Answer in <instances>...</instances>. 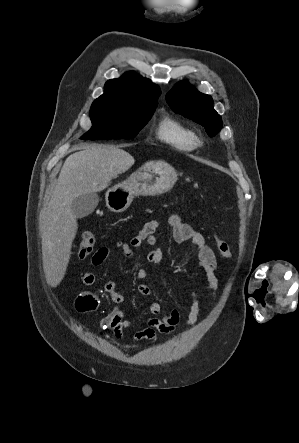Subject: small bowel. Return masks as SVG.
I'll return each mask as SVG.
<instances>
[{
  "mask_svg": "<svg viewBox=\"0 0 299 443\" xmlns=\"http://www.w3.org/2000/svg\"><path fill=\"white\" fill-rule=\"evenodd\" d=\"M168 223L173 229V238L177 242L191 241L198 249V264L203 269L208 287L212 297L216 296L218 280L216 276V257L213 250L207 244L201 233L196 231L190 225L184 223L180 216L171 215ZM160 226L159 221L151 220L135 235L130 242H119L117 248L126 258H133V248H141L145 244L154 245L156 243V232ZM109 255L107 248H100L92 257V263L95 266L101 265ZM147 260L153 264H160L163 261V253L159 249L151 250L147 254ZM149 273L146 269L139 268L135 271V277L138 280H144ZM83 283L86 286H94L97 283L96 276L88 271L83 275ZM104 290L109 294L112 302L116 305L123 303L124 295L116 290V284L113 279L106 282ZM138 292L141 295L148 296L151 289L146 284L138 286ZM200 296L196 292L191 293V302L188 312V325L194 326L199 317ZM76 307L81 312H91L97 309L98 299L95 293L85 291L81 293L76 300ZM161 311L159 303L153 302L149 306V312L152 315H158ZM180 322V313L173 309L163 318L149 317L145 320L144 326L135 332L133 341L135 343L143 340H153L157 334L171 335ZM101 327L113 332L116 339H121L123 332L131 327V322L127 319L125 310L119 306L114 307L106 316L101 319Z\"/></svg>",
  "mask_w": 299,
  "mask_h": 443,
  "instance_id": "c3829d8e",
  "label": "small bowel"
}]
</instances>
